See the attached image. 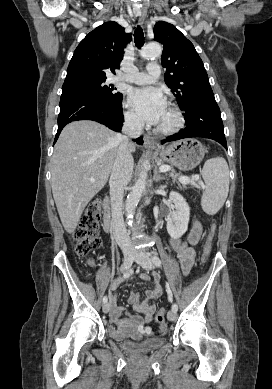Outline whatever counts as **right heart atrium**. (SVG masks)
<instances>
[{
    "instance_id": "right-heart-atrium-1",
    "label": "right heart atrium",
    "mask_w": 272,
    "mask_h": 389,
    "mask_svg": "<svg viewBox=\"0 0 272 389\" xmlns=\"http://www.w3.org/2000/svg\"><path fill=\"white\" fill-rule=\"evenodd\" d=\"M125 120L131 127L134 128H139L142 125L140 118L137 116L135 112L131 110L125 113Z\"/></svg>"
}]
</instances>
